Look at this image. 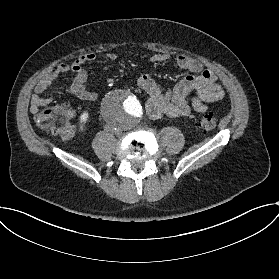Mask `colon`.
Segmentation results:
<instances>
[{
	"instance_id": "1",
	"label": "colon",
	"mask_w": 279,
	"mask_h": 279,
	"mask_svg": "<svg viewBox=\"0 0 279 279\" xmlns=\"http://www.w3.org/2000/svg\"><path fill=\"white\" fill-rule=\"evenodd\" d=\"M73 116V109L67 103H58L53 107H47L38 112L35 116L37 125L45 132L60 136L63 139L70 138L74 128L70 123ZM217 124L214 114L209 113L201 117L198 128L206 133Z\"/></svg>"
}]
</instances>
